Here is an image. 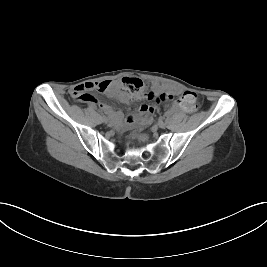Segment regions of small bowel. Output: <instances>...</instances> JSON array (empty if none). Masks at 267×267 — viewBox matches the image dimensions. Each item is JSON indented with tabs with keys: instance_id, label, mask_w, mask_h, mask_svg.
Instances as JSON below:
<instances>
[{
	"instance_id": "1",
	"label": "small bowel",
	"mask_w": 267,
	"mask_h": 267,
	"mask_svg": "<svg viewBox=\"0 0 267 267\" xmlns=\"http://www.w3.org/2000/svg\"><path fill=\"white\" fill-rule=\"evenodd\" d=\"M98 83H100V82H87L86 84H89V85H91L93 87H96V85ZM81 85H79V86H81ZM79 86H76V87H74V88H72L70 90V96L71 97H73L74 90L77 89ZM151 89L154 92L166 91L169 95H178L181 92V90L177 86H174V85H167V86L163 87V86L154 84V85H152ZM113 95L117 96L122 102H126L128 100V95L126 93L115 92V93H113ZM86 102L91 103V104H96L101 110H103L106 113L112 112V108L109 105L105 104V103L97 102L94 99L88 100ZM179 109H180V107L176 103L173 104L171 106V108H170V110L172 112H177V111H179ZM155 110H156V107L148 105V104H141L140 107H139L140 115L153 113ZM134 120H135V116L133 114H127L125 116V121L128 122V123H131Z\"/></svg>"
}]
</instances>
